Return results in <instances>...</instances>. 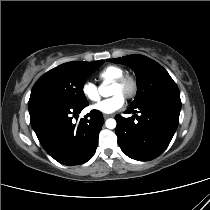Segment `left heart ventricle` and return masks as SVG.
I'll list each match as a JSON object with an SVG mask.
<instances>
[{
  "instance_id": "1",
  "label": "left heart ventricle",
  "mask_w": 210,
  "mask_h": 210,
  "mask_svg": "<svg viewBox=\"0 0 210 210\" xmlns=\"http://www.w3.org/2000/svg\"><path fill=\"white\" fill-rule=\"evenodd\" d=\"M124 89L115 85L111 86V91L110 94L111 95H116V94H121L123 95Z\"/></svg>"
}]
</instances>
